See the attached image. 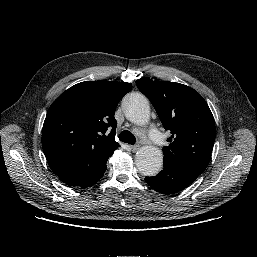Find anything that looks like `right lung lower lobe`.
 Here are the masks:
<instances>
[{"label": "right lung lower lobe", "instance_id": "1", "mask_svg": "<svg viewBox=\"0 0 257 257\" xmlns=\"http://www.w3.org/2000/svg\"><path fill=\"white\" fill-rule=\"evenodd\" d=\"M105 170H106V165L99 172H97L96 174H94L93 176H91L90 178H88L86 181H84L82 184L78 186H80L81 188H86L95 184L103 176Z\"/></svg>", "mask_w": 257, "mask_h": 257}]
</instances>
